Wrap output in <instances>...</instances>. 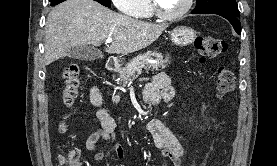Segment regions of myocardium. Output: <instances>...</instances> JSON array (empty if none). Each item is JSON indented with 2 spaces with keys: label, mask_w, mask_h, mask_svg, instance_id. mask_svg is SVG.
I'll use <instances>...</instances> for the list:
<instances>
[{
  "label": "myocardium",
  "mask_w": 277,
  "mask_h": 166,
  "mask_svg": "<svg viewBox=\"0 0 277 166\" xmlns=\"http://www.w3.org/2000/svg\"><path fill=\"white\" fill-rule=\"evenodd\" d=\"M193 1L194 0H186L185 5L176 13L173 14H167L165 12L162 11V9L160 8L157 0H150V6L152 9L153 14L158 17L161 20L164 21H174L177 19L182 18L185 14H187L189 12V10L191 9L192 5H193Z\"/></svg>",
  "instance_id": "1"
}]
</instances>
